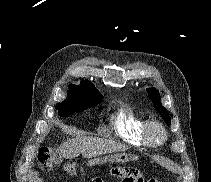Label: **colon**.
<instances>
[{
	"label": "colon",
	"mask_w": 211,
	"mask_h": 182,
	"mask_svg": "<svg viewBox=\"0 0 211 182\" xmlns=\"http://www.w3.org/2000/svg\"><path fill=\"white\" fill-rule=\"evenodd\" d=\"M37 159L43 171H50L54 164H60L69 175L75 176L80 173L79 166L74 162L64 161L58 152L42 147L38 150ZM114 176L121 180L130 179L132 182H158L154 178H144L142 174L130 167H117ZM102 182V181H97Z\"/></svg>",
	"instance_id": "colon-1"
}]
</instances>
